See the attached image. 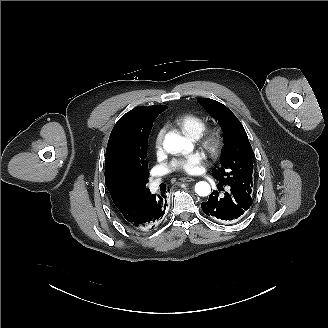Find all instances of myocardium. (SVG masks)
I'll list each match as a JSON object with an SVG mask.
<instances>
[{"label":"myocardium","mask_w":328,"mask_h":328,"mask_svg":"<svg viewBox=\"0 0 328 328\" xmlns=\"http://www.w3.org/2000/svg\"><path fill=\"white\" fill-rule=\"evenodd\" d=\"M188 145L190 147H199L209 152L211 160L210 164L219 161L227 144V133L219 123H209L198 137H188ZM187 153V149L185 151Z\"/></svg>","instance_id":"myocardium-1"}]
</instances>
